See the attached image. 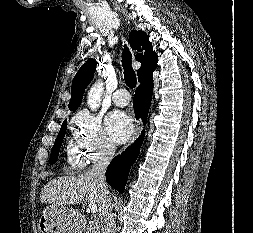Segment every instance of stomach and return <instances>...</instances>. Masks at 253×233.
<instances>
[{
    "instance_id": "1",
    "label": "stomach",
    "mask_w": 253,
    "mask_h": 233,
    "mask_svg": "<svg viewBox=\"0 0 253 233\" xmlns=\"http://www.w3.org/2000/svg\"><path fill=\"white\" fill-rule=\"evenodd\" d=\"M76 213L62 205L47 206L39 221L40 233H79Z\"/></svg>"
}]
</instances>
